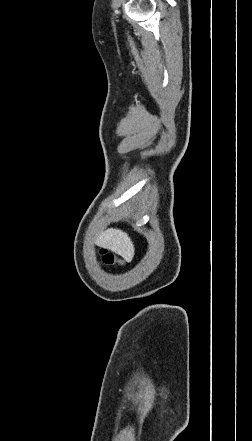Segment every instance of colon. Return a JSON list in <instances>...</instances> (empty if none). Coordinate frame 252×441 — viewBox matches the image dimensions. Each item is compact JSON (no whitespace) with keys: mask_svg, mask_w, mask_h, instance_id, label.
<instances>
[{"mask_svg":"<svg viewBox=\"0 0 252 441\" xmlns=\"http://www.w3.org/2000/svg\"><path fill=\"white\" fill-rule=\"evenodd\" d=\"M100 254L102 256L103 264L106 266H114L119 263L118 258L113 253L105 249H102Z\"/></svg>","mask_w":252,"mask_h":441,"instance_id":"colon-1","label":"colon"}]
</instances>
